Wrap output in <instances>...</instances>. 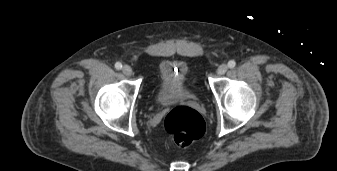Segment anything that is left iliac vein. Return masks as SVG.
<instances>
[{"instance_id": "1", "label": "left iliac vein", "mask_w": 337, "mask_h": 171, "mask_svg": "<svg viewBox=\"0 0 337 171\" xmlns=\"http://www.w3.org/2000/svg\"><path fill=\"white\" fill-rule=\"evenodd\" d=\"M227 70H228V66L226 64H221L217 69V74L223 75L227 72Z\"/></svg>"}]
</instances>
